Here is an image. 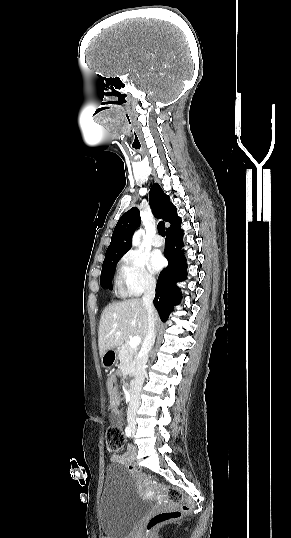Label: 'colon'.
<instances>
[{"instance_id":"colon-1","label":"colon","mask_w":291,"mask_h":538,"mask_svg":"<svg viewBox=\"0 0 291 538\" xmlns=\"http://www.w3.org/2000/svg\"><path fill=\"white\" fill-rule=\"evenodd\" d=\"M124 442V436L118 426L113 425L108 427L106 431V449L109 453H118L123 448ZM130 468L133 471H138L134 465H131ZM166 495L171 501L176 503L178 507L171 511H160L152 515L147 521L144 529L145 538L153 535L160 526L168 521L181 518V516L187 513L190 509L191 502L185 499L184 495L179 489L168 487L166 489Z\"/></svg>"}]
</instances>
